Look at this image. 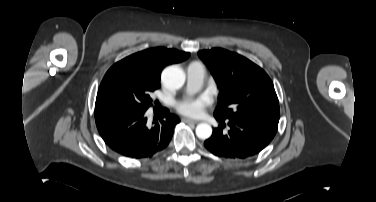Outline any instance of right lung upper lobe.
<instances>
[{"label":"right lung upper lobe","instance_id":"right-lung-upper-lobe-1","mask_svg":"<svg viewBox=\"0 0 376 202\" xmlns=\"http://www.w3.org/2000/svg\"><path fill=\"white\" fill-rule=\"evenodd\" d=\"M189 56L187 52L157 47L135 53L118 63L131 65L149 77L160 80L161 71L166 65L182 62Z\"/></svg>","mask_w":376,"mask_h":202}]
</instances>
